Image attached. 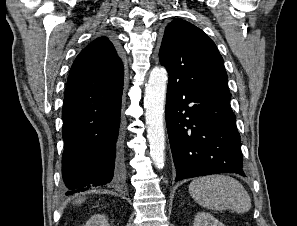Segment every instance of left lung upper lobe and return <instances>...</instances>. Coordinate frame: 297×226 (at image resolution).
<instances>
[{
  "mask_svg": "<svg viewBox=\"0 0 297 226\" xmlns=\"http://www.w3.org/2000/svg\"><path fill=\"white\" fill-rule=\"evenodd\" d=\"M159 60L169 78L197 90L229 92L224 61L215 43L187 21L175 19L165 28Z\"/></svg>",
  "mask_w": 297,
  "mask_h": 226,
  "instance_id": "left-lung-upper-lobe-1",
  "label": "left lung upper lobe"
}]
</instances>
